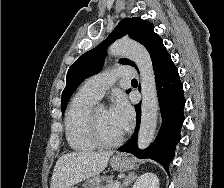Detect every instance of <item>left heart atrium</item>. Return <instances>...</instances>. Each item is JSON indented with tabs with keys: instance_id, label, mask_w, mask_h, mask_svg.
<instances>
[{
	"instance_id": "obj_1",
	"label": "left heart atrium",
	"mask_w": 224,
	"mask_h": 188,
	"mask_svg": "<svg viewBox=\"0 0 224 188\" xmlns=\"http://www.w3.org/2000/svg\"><path fill=\"white\" fill-rule=\"evenodd\" d=\"M109 112L124 132L129 127L133 118V110L130 104L123 96H118Z\"/></svg>"
}]
</instances>
